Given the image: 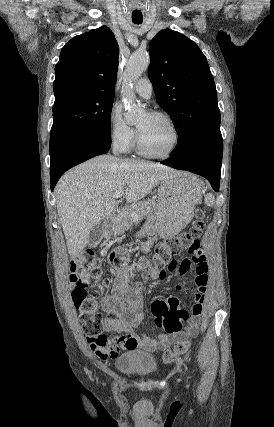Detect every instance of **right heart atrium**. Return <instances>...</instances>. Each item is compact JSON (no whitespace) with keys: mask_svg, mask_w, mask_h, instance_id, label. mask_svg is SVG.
Instances as JSON below:
<instances>
[{"mask_svg":"<svg viewBox=\"0 0 274 427\" xmlns=\"http://www.w3.org/2000/svg\"><path fill=\"white\" fill-rule=\"evenodd\" d=\"M108 132L112 145L121 152H129L135 143V132L129 127L117 106H113L108 116Z\"/></svg>","mask_w":274,"mask_h":427,"instance_id":"d8ad5b80","label":"right heart atrium"}]
</instances>
